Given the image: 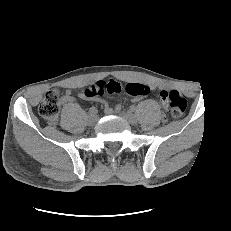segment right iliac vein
Returning a JSON list of instances; mask_svg holds the SVG:
<instances>
[{"label":"right iliac vein","mask_w":231,"mask_h":231,"mask_svg":"<svg viewBox=\"0 0 231 231\" xmlns=\"http://www.w3.org/2000/svg\"><path fill=\"white\" fill-rule=\"evenodd\" d=\"M97 116L96 115H89L88 117V123L90 125H94L97 122Z\"/></svg>","instance_id":"63e3f726"}]
</instances>
